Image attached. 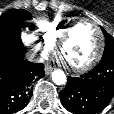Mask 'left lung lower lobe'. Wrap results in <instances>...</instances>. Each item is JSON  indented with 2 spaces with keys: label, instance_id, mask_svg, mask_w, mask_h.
Returning a JSON list of instances; mask_svg holds the SVG:
<instances>
[{
  "label": "left lung lower lobe",
  "instance_id": "0a47b994",
  "mask_svg": "<svg viewBox=\"0 0 114 114\" xmlns=\"http://www.w3.org/2000/svg\"><path fill=\"white\" fill-rule=\"evenodd\" d=\"M114 95V60H101L90 72L79 78H68L59 97L66 110L73 114H96Z\"/></svg>",
  "mask_w": 114,
  "mask_h": 114
}]
</instances>
